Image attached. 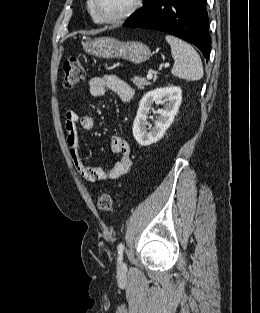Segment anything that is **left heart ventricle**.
I'll return each instance as SVG.
<instances>
[{"label": "left heart ventricle", "mask_w": 260, "mask_h": 313, "mask_svg": "<svg viewBox=\"0 0 260 313\" xmlns=\"http://www.w3.org/2000/svg\"><path fill=\"white\" fill-rule=\"evenodd\" d=\"M133 0H97V7L104 17H115L126 11Z\"/></svg>", "instance_id": "b2bd125f"}]
</instances>
